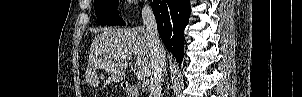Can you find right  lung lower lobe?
Wrapping results in <instances>:
<instances>
[{"label":"right lung lower lobe","mask_w":302,"mask_h":97,"mask_svg":"<svg viewBox=\"0 0 302 97\" xmlns=\"http://www.w3.org/2000/svg\"><path fill=\"white\" fill-rule=\"evenodd\" d=\"M152 10L156 17L159 35L176 58L183 60L184 27L191 12L190 0H153Z\"/></svg>","instance_id":"right-lung-lower-lobe-1"}]
</instances>
